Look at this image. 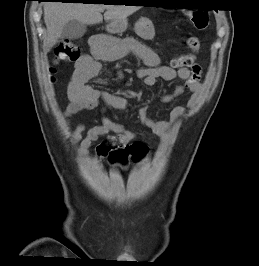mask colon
<instances>
[{
    "instance_id": "colon-1",
    "label": "colon",
    "mask_w": 259,
    "mask_h": 266,
    "mask_svg": "<svg viewBox=\"0 0 259 266\" xmlns=\"http://www.w3.org/2000/svg\"><path fill=\"white\" fill-rule=\"evenodd\" d=\"M188 17L197 30H205L208 27V16L204 12H190ZM186 44L190 49L189 53L180 55L171 60V66L176 69L189 68L195 63L196 53L200 49V43L194 36H189L186 39ZM80 58L79 47L69 39L61 40L55 49V61L60 62H76ZM147 153V147L141 142H134L127 145L125 148L116 150L110 155L112 162H126L131 159L138 162L144 158Z\"/></svg>"
}]
</instances>
